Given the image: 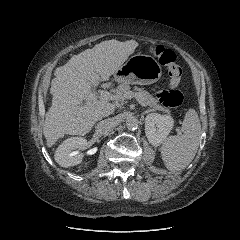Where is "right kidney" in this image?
Segmentation results:
<instances>
[{"label":"right kidney","mask_w":240,"mask_h":240,"mask_svg":"<svg viewBox=\"0 0 240 240\" xmlns=\"http://www.w3.org/2000/svg\"><path fill=\"white\" fill-rule=\"evenodd\" d=\"M88 143L83 137H71L63 141L56 149L54 158L61 167H71L82 162L84 154L76 151L85 150Z\"/></svg>","instance_id":"1"}]
</instances>
